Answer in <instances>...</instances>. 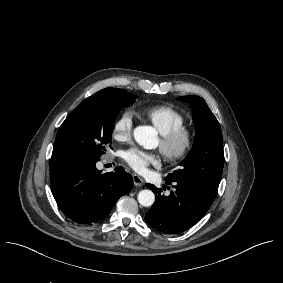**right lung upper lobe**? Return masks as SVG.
Returning a JSON list of instances; mask_svg holds the SVG:
<instances>
[{"label": "right lung upper lobe", "instance_id": "cb5924a9", "mask_svg": "<svg viewBox=\"0 0 283 283\" xmlns=\"http://www.w3.org/2000/svg\"><path fill=\"white\" fill-rule=\"evenodd\" d=\"M118 90H122V89L105 88L103 90L98 91L94 95L88 97L87 100L93 99V98H97V97H100V96H104V95H107L109 93H112V92L118 91ZM64 162H66V161H63L62 159H60L54 152L52 153V157H51V160H50V165L61 164V163H64Z\"/></svg>", "mask_w": 283, "mask_h": 283}]
</instances>
